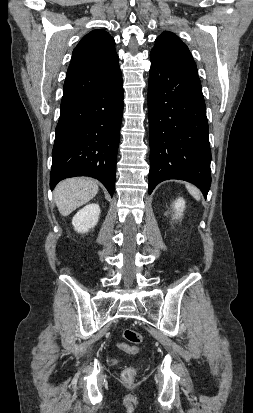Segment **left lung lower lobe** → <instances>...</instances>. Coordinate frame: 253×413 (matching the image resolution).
Instances as JSON below:
<instances>
[{
	"label": "left lung lower lobe",
	"instance_id": "0a47b994",
	"mask_svg": "<svg viewBox=\"0 0 253 413\" xmlns=\"http://www.w3.org/2000/svg\"><path fill=\"white\" fill-rule=\"evenodd\" d=\"M148 85L150 129L149 194L157 184L180 179L204 197L211 185V151L200 81L150 53Z\"/></svg>",
	"mask_w": 253,
	"mask_h": 413
}]
</instances>
